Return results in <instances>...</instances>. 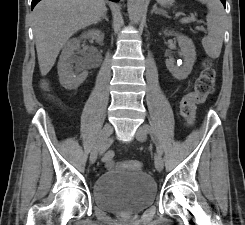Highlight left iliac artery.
<instances>
[{"instance_id":"1","label":"left iliac artery","mask_w":245,"mask_h":225,"mask_svg":"<svg viewBox=\"0 0 245 225\" xmlns=\"http://www.w3.org/2000/svg\"><path fill=\"white\" fill-rule=\"evenodd\" d=\"M144 129L149 134H152L153 133V130H152V128L149 125H144ZM157 153L160 154V155L162 154V149H161V146L160 145H157Z\"/></svg>"}]
</instances>
